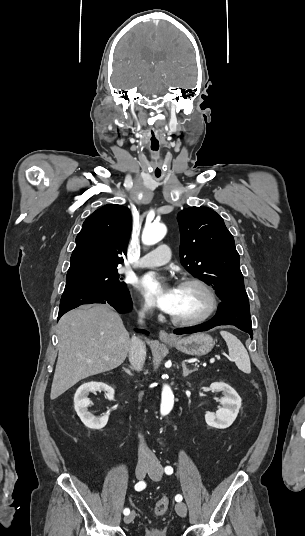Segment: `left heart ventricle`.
<instances>
[{"label":"left heart ventricle","mask_w":305,"mask_h":536,"mask_svg":"<svg viewBox=\"0 0 305 536\" xmlns=\"http://www.w3.org/2000/svg\"><path fill=\"white\" fill-rule=\"evenodd\" d=\"M210 307L208 294L199 286L188 284L179 285L177 298L172 314L184 317L203 315Z\"/></svg>","instance_id":"left-heart-ventricle-1"}]
</instances>
